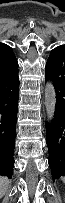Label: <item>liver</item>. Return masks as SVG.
Returning a JSON list of instances; mask_svg holds the SVG:
<instances>
[{
  "label": "liver",
  "instance_id": "6515ba94",
  "mask_svg": "<svg viewBox=\"0 0 65 203\" xmlns=\"http://www.w3.org/2000/svg\"><path fill=\"white\" fill-rule=\"evenodd\" d=\"M9 183H10V181L7 178H5V177L0 178V196L1 197H3L5 195Z\"/></svg>",
  "mask_w": 65,
  "mask_h": 203
}]
</instances>
